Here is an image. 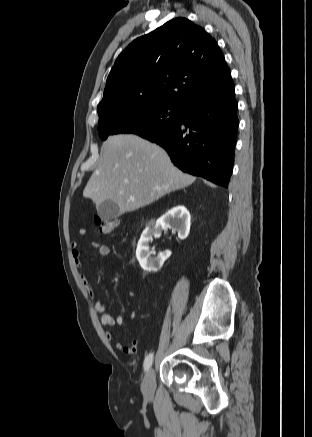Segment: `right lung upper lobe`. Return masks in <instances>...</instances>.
Wrapping results in <instances>:
<instances>
[{
	"instance_id": "cb5924a9",
	"label": "right lung upper lobe",
	"mask_w": 312,
	"mask_h": 437,
	"mask_svg": "<svg viewBox=\"0 0 312 437\" xmlns=\"http://www.w3.org/2000/svg\"><path fill=\"white\" fill-rule=\"evenodd\" d=\"M230 79L216 41L185 18L168 21L134 40L107 78L99 118L119 107L160 102L184 107Z\"/></svg>"
}]
</instances>
